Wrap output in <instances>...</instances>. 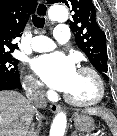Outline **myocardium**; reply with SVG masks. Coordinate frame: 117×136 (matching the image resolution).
Here are the masks:
<instances>
[{"instance_id":"myocardium-1","label":"myocardium","mask_w":117,"mask_h":136,"mask_svg":"<svg viewBox=\"0 0 117 136\" xmlns=\"http://www.w3.org/2000/svg\"><path fill=\"white\" fill-rule=\"evenodd\" d=\"M78 72L89 73L95 79L97 84V89H98L97 95L91 100L79 101V100L73 99L67 93H65L64 94L65 100L71 105H74L76 107H91L102 102L105 97L106 88H105L104 80L102 79L101 75L95 69L91 67H86V66L80 67L78 69Z\"/></svg>"}]
</instances>
